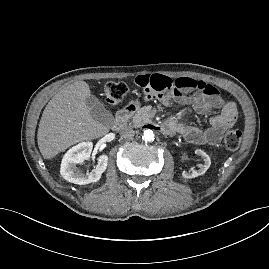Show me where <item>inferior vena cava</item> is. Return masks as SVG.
Returning a JSON list of instances; mask_svg holds the SVG:
<instances>
[{"label":"inferior vena cava","instance_id":"602c4592","mask_svg":"<svg viewBox=\"0 0 269 269\" xmlns=\"http://www.w3.org/2000/svg\"><path fill=\"white\" fill-rule=\"evenodd\" d=\"M120 134L124 138L131 139L135 135V131L131 127H124L121 129Z\"/></svg>","mask_w":269,"mask_h":269}]
</instances>
